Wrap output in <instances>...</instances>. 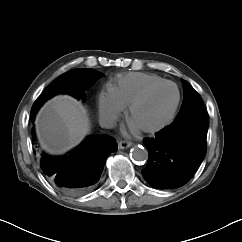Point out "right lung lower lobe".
Returning a JSON list of instances; mask_svg holds the SVG:
<instances>
[{"label":"right lung lower lobe","mask_w":242,"mask_h":242,"mask_svg":"<svg viewBox=\"0 0 242 242\" xmlns=\"http://www.w3.org/2000/svg\"><path fill=\"white\" fill-rule=\"evenodd\" d=\"M34 117L35 114L31 113L32 123ZM32 141L36 142L34 127ZM117 148L112 137L91 135L63 156L42 153L40 167L54 187L66 194L79 195L95 187L107 157Z\"/></svg>","instance_id":"right-lung-lower-lobe-1"}]
</instances>
